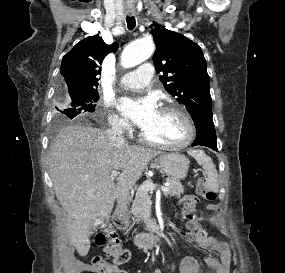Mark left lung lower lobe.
Here are the masks:
<instances>
[{"label":"left lung lower lobe","instance_id":"0a47b994","mask_svg":"<svg viewBox=\"0 0 285 273\" xmlns=\"http://www.w3.org/2000/svg\"><path fill=\"white\" fill-rule=\"evenodd\" d=\"M193 121L196 125L197 136L192 145L207 146L217 151V140L212 114L199 115Z\"/></svg>","mask_w":285,"mask_h":273}]
</instances>
